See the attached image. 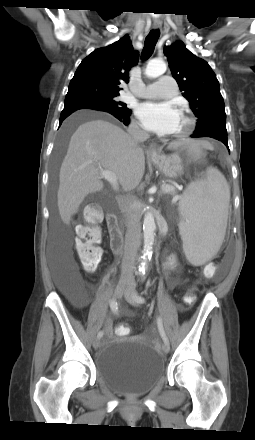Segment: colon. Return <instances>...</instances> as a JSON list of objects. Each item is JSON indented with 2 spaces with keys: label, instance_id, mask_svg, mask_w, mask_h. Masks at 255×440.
<instances>
[{
  "label": "colon",
  "instance_id": "1",
  "mask_svg": "<svg viewBox=\"0 0 255 440\" xmlns=\"http://www.w3.org/2000/svg\"><path fill=\"white\" fill-rule=\"evenodd\" d=\"M84 223L77 227L76 252L83 268L95 269L101 260V250L97 244L102 239V233L98 226L101 220V213L95 207H88L83 215ZM196 295L187 294L184 298L186 304L194 303ZM117 334L126 336L130 333L128 325H120L117 328Z\"/></svg>",
  "mask_w": 255,
  "mask_h": 440
}]
</instances>
